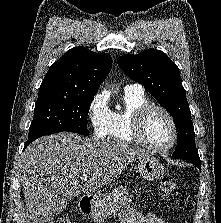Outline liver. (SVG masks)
<instances>
[{
    "label": "liver",
    "instance_id": "liver-1",
    "mask_svg": "<svg viewBox=\"0 0 221 223\" xmlns=\"http://www.w3.org/2000/svg\"><path fill=\"white\" fill-rule=\"evenodd\" d=\"M149 156L121 141L86 138L61 132L31 143L20 160L26 200L23 223H53L64 209L59 195L72 198L109 184L134 160ZM91 178L83 185L81 176Z\"/></svg>",
    "mask_w": 221,
    "mask_h": 223
}]
</instances>
